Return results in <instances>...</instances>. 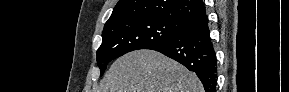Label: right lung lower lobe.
Here are the masks:
<instances>
[{"label": "right lung lower lobe", "mask_w": 289, "mask_h": 92, "mask_svg": "<svg viewBox=\"0 0 289 92\" xmlns=\"http://www.w3.org/2000/svg\"><path fill=\"white\" fill-rule=\"evenodd\" d=\"M148 49L158 51L194 71L205 91L215 92L216 54L205 13L185 24L175 37Z\"/></svg>", "instance_id": "right-lung-lower-lobe-1"}]
</instances>
